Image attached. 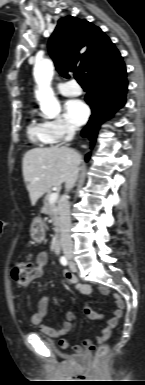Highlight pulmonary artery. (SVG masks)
Returning <instances> with one entry per match:
<instances>
[{"label":"pulmonary artery","instance_id":"obj_1","mask_svg":"<svg viewBox=\"0 0 145 385\" xmlns=\"http://www.w3.org/2000/svg\"><path fill=\"white\" fill-rule=\"evenodd\" d=\"M58 91L66 96H77L82 93L81 87L74 80L59 83Z\"/></svg>","mask_w":145,"mask_h":385}]
</instances>
